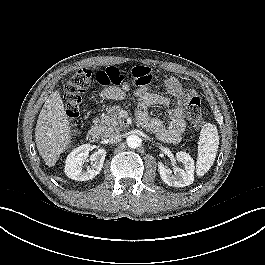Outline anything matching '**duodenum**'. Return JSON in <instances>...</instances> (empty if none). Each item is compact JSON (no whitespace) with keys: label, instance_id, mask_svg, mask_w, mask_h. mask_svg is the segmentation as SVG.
Listing matches in <instances>:
<instances>
[{"label":"duodenum","instance_id":"duodenum-1","mask_svg":"<svg viewBox=\"0 0 265 265\" xmlns=\"http://www.w3.org/2000/svg\"><path fill=\"white\" fill-rule=\"evenodd\" d=\"M99 138H100V129L98 126L94 125L89 129L87 133V139L91 143H96L98 142Z\"/></svg>","mask_w":265,"mask_h":265}]
</instances>
